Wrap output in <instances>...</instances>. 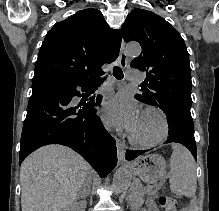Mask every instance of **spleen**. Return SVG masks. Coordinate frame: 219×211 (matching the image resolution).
I'll use <instances>...</instances> for the list:
<instances>
[{
	"mask_svg": "<svg viewBox=\"0 0 219 211\" xmlns=\"http://www.w3.org/2000/svg\"><path fill=\"white\" fill-rule=\"evenodd\" d=\"M174 151L170 159V189L176 195L193 197L196 193L197 179L195 161L187 147L173 143Z\"/></svg>",
	"mask_w": 219,
	"mask_h": 211,
	"instance_id": "spleen-1",
	"label": "spleen"
}]
</instances>
